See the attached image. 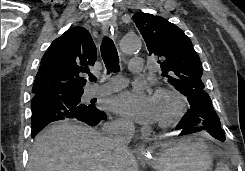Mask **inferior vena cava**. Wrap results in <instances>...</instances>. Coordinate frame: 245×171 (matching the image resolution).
Returning <instances> with one entry per match:
<instances>
[{"mask_svg":"<svg viewBox=\"0 0 245 171\" xmlns=\"http://www.w3.org/2000/svg\"><path fill=\"white\" fill-rule=\"evenodd\" d=\"M134 131V126L130 122H115L106 124L103 127V132L109 137L107 142L116 150L118 154H125L128 152V144L131 141V136ZM103 171H117L110 164L105 165Z\"/></svg>","mask_w":245,"mask_h":171,"instance_id":"602c4592","label":"inferior vena cava"}]
</instances>
